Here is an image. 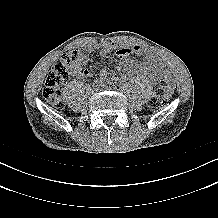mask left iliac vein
I'll list each match as a JSON object with an SVG mask.
<instances>
[{
	"label": "left iliac vein",
	"mask_w": 218,
	"mask_h": 218,
	"mask_svg": "<svg viewBox=\"0 0 218 218\" xmlns=\"http://www.w3.org/2000/svg\"><path fill=\"white\" fill-rule=\"evenodd\" d=\"M103 88H104V89H111L112 87H111L109 84H104V85H103Z\"/></svg>",
	"instance_id": "left-iliac-vein-1"
}]
</instances>
